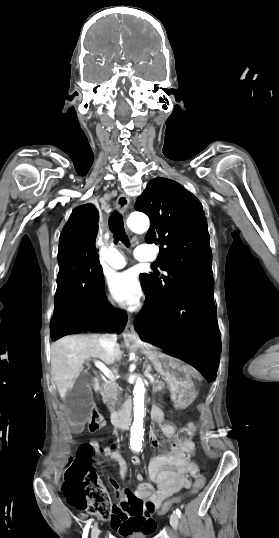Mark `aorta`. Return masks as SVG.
I'll return each instance as SVG.
<instances>
[{"mask_svg": "<svg viewBox=\"0 0 279 538\" xmlns=\"http://www.w3.org/2000/svg\"><path fill=\"white\" fill-rule=\"evenodd\" d=\"M128 227L138 233H144L149 229V218L142 213H132L127 219ZM134 422L131 427L130 446L132 449L142 447L144 435V393L145 387L141 378H138L134 387Z\"/></svg>", "mask_w": 279, "mask_h": 538, "instance_id": "762f6f07", "label": "aorta"}]
</instances>
